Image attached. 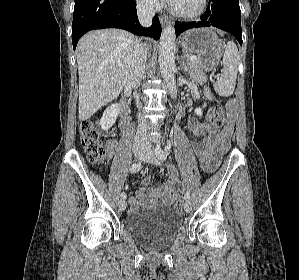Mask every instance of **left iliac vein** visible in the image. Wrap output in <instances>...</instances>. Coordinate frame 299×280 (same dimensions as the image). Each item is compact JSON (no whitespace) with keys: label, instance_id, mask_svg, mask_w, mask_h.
<instances>
[{"label":"left iliac vein","instance_id":"1","mask_svg":"<svg viewBox=\"0 0 299 280\" xmlns=\"http://www.w3.org/2000/svg\"><path fill=\"white\" fill-rule=\"evenodd\" d=\"M144 161L154 164V165H159L160 161L158 159H156V157L153 154V151L151 148H148L146 150V153L144 155V157L142 158ZM192 209L191 203L189 201H186L184 203V210L185 212L189 213Z\"/></svg>","mask_w":299,"mask_h":280}]
</instances>
